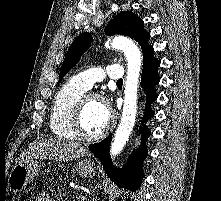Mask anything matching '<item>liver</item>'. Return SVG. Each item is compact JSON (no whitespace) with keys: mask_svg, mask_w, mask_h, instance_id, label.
Instances as JSON below:
<instances>
[{"mask_svg":"<svg viewBox=\"0 0 221 201\" xmlns=\"http://www.w3.org/2000/svg\"><path fill=\"white\" fill-rule=\"evenodd\" d=\"M89 154V151L79 143L65 142L60 138H50L31 146L22 153L21 160L47 158L55 161H68Z\"/></svg>","mask_w":221,"mask_h":201,"instance_id":"1","label":"liver"}]
</instances>
